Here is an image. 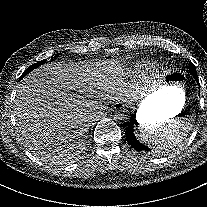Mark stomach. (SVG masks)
I'll return each instance as SVG.
<instances>
[{"label": "stomach", "instance_id": "1", "mask_svg": "<svg viewBox=\"0 0 207 207\" xmlns=\"http://www.w3.org/2000/svg\"><path fill=\"white\" fill-rule=\"evenodd\" d=\"M183 73L169 72L162 84L139 105L136 113L140 125H154L175 117L185 104Z\"/></svg>", "mask_w": 207, "mask_h": 207}]
</instances>
